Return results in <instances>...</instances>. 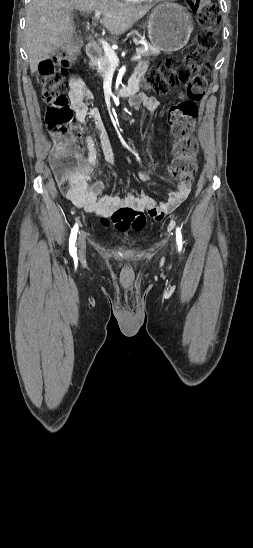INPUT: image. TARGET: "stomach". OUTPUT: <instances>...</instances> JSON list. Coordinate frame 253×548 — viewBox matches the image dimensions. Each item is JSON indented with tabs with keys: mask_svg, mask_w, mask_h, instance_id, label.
<instances>
[{
	"mask_svg": "<svg viewBox=\"0 0 253 548\" xmlns=\"http://www.w3.org/2000/svg\"><path fill=\"white\" fill-rule=\"evenodd\" d=\"M147 29L153 46L171 52L187 44L193 25L190 14L183 6L167 3L152 10Z\"/></svg>",
	"mask_w": 253,
	"mask_h": 548,
	"instance_id": "obj_1",
	"label": "stomach"
}]
</instances>
